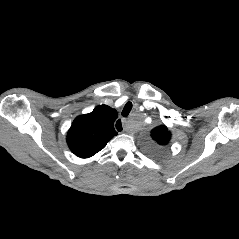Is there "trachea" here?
I'll list each match as a JSON object with an SVG mask.
<instances>
[{
    "label": "trachea",
    "instance_id": "obj_1",
    "mask_svg": "<svg viewBox=\"0 0 239 239\" xmlns=\"http://www.w3.org/2000/svg\"><path fill=\"white\" fill-rule=\"evenodd\" d=\"M131 109H132V103L127 102L126 105L124 106L123 111H122V116L127 117L128 114L130 113Z\"/></svg>",
    "mask_w": 239,
    "mask_h": 239
}]
</instances>
